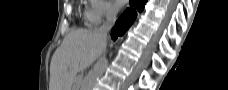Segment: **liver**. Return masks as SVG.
Returning <instances> with one entry per match:
<instances>
[{
    "label": "liver",
    "mask_w": 228,
    "mask_h": 90,
    "mask_svg": "<svg viewBox=\"0 0 228 90\" xmlns=\"http://www.w3.org/2000/svg\"><path fill=\"white\" fill-rule=\"evenodd\" d=\"M105 48L106 39L96 31H71L52 57L49 90H72L77 73L93 64Z\"/></svg>",
    "instance_id": "1"
}]
</instances>
